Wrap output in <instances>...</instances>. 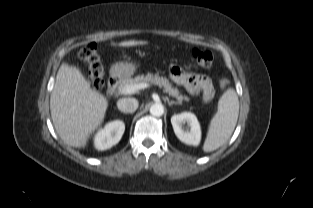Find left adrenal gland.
Segmentation results:
<instances>
[{"mask_svg":"<svg viewBox=\"0 0 313 208\" xmlns=\"http://www.w3.org/2000/svg\"><path fill=\"white\" fill-rule=\"evenodd\" d=\"M168 105L172 106L173 104L177 105V104H181L180 102H176V101H169V99H167Z\"/></svg>","mask_w":313,"mask_h":208,"instance_id":"1","label":"left adrenal gland"}]
</instances>
